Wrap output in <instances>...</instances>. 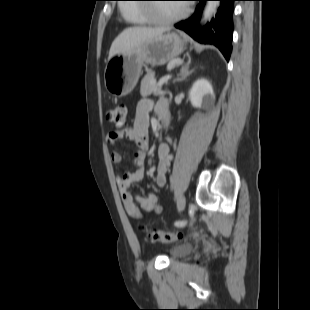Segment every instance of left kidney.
Segmentation results:
<instances>
[{"label": "left kidney", "mask_w": 310, "mask_h": 310, "mask_svg": "<svg viewBox=\"0 0 310 310\" xmlns=\"http://www.w3.org/2000/svg\"><path fill=\"white\" fill-rule=\"evenodd\" d=\"M188 97L191 105L199 108L202 104H208L214 100L213 87L207 79H198L189 90Z\"/></svg>", "instance_id": "left-kidney-1"}]
</instances>
